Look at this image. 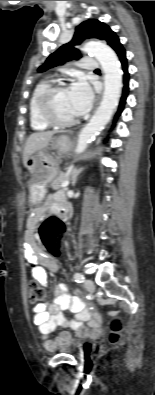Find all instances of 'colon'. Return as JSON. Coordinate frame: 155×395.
<instances>
[{"label":"colon","instance_id":"colon-1","mask_svg":"<svg viewBox=\"0 0 155 395\" xmlns=\"http://www.w3.org/2000/svg\"><path fill=\"white\" fill-rule=\"evenodd\" d=\"M57 215H48L47 220L43 222L40 227V237L42 243L47 251H50V256H61V238L59 235H65L67 225L66 223H59ZM45 299L44 289L36 282L29 283V300L31 303H40ZM123 329V322L120 317H114L109 324V332L107 341L111 345H116L121 340V332Z\"/></svg>","mask_w":155,"mask_h":395}]
</instances>
